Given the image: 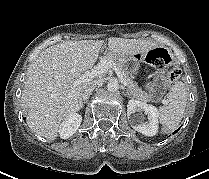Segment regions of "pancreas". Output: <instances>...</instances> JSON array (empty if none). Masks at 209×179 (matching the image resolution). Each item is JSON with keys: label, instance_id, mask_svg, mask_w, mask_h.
<instances>
[{"label": "pancreas", "instance_id": "pancreas-1", "mask_svg": "<svg viewBox=\"0 0 209 179\" xmlns=\"http://www.w3.org/2000/svg\"><path fill=\"white\" fill-rule=\"evenodd\" d=\"M104 60H111L116 64L117 68L120 70L123 78L126 81L127 88H128L127 91L133 98H136L143 102L151 101L150 96L145 91H143L140 87H138L137 83L128 76V74L126 73L122 65L120 57H115L113 55L108 54L104 58L101 59V62Z\"/></svg>", "mask_w": 209, "mask_h": 179}]
</instances>
